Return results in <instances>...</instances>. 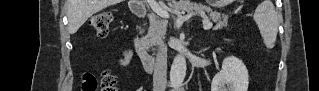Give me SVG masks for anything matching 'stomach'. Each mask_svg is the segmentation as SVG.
<instances>
[{"label": "stomach", "mask_w": 319, "mask_h": 91, "mask_svg": "<svg viewBox=\"0 0 319 91\" xmlns=\"http://www.w3.org/2000/svg\"><path fill=\"white\" fill-rule=\"evenodd\" d=\"M223 2H224V3H223ZM225 2H228V1L215 2L213 5H214V6H221V5L225 4Z\"/></svg>", "instance_id": "stomach-1"}]
</instances>
